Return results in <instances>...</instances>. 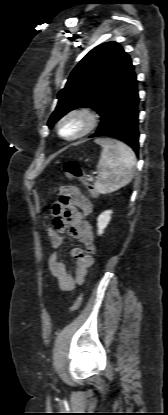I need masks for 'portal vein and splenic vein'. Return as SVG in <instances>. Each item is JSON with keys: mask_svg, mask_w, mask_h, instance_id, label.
<instances>
[{"mask_svg": "<svg viewBox=\"0 0 168 415\" xmlns=\"http://www.w3.org/2000/svg\"><path fill=\"white\" fill-rule=\"evenodd\" d=\"M89 180H91V181H92V180H93V177H90V178H89Z\"/></svg>", "mask_w": 168, "mask_h": 415, "instance_id": "18ae733b", "label": "portal vein and splenic vein"}]
</instances>
